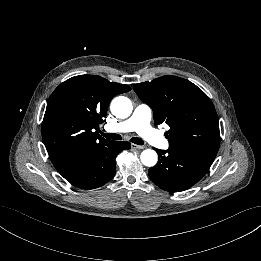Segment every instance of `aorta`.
<instances>
[{
    "label": "aorta",
    "mask_w": 261,
    "mask_h": 261,
    "mask_svg": "<svg viewBox=\"0 0 261 261\" xmlns=\"http://www.w3.org/2000/svg\"><path fill=\"white\" fill-rule=\"evenodd\" d=\"M110 110L117 118L125 119L131 115L133 106L129 98L119 96L112 100ZM140 159L145 166L152 167L157 163L158 156L154 150L146 149L141 153Z\"/></svg>",
    "instance_id": "obj_1"
}]
</instances>
